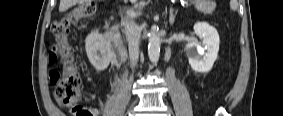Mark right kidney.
<instances>
[{"label": "right kidney", "instance_id": "1", "mask_svg": "<svg viewBox=\"0 0 283 116\" xmlns=\"http://www.w3.org/2000/svg\"><path fill=\"white\" fill-rule=\"evenodd\" d=\"M117 40L113 33L104 35L98 30L92 31L85 40V49L90 63L97 71H104L116 56Z\"/></svg>", "mask_w": 283, "mask_h": 116}]
</instances>
